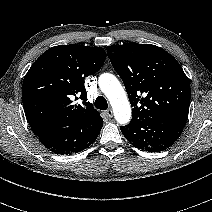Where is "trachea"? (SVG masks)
<instances>
[{
  "instance_id": "trachea-1",
  "label": "trachea",
  "mask_w": 212,
  "mask_h": 212,
  "mask_svg": "<svg viewBox=\"0 0 212 212\" xmlns=\"http://www.w3.org/2000/svg\"><path fill=\"white\" fill-rule=\"evenodd\" d=\"M95 107L100 110H106L108 108V103L103 96H98L95 100Z\"/></svg>"
}]
</instances>
